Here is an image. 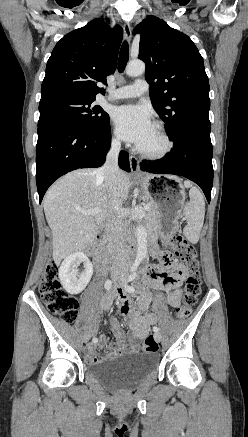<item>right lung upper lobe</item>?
Returning <instances> with one entry per match:
<instances>
[{"label":"right lung upper lobe","instance_id":"obj_1","mask_svg":"<svg viewBox=\"0 0 248 437\" xmlns=\"http://www.w3.org/2000/svg\"><path fill=\"white\" fill-rule=\"evenodd\" d=\"M122 37L119 25L111 29L99 19L65 35L47 62L41 97L66 93L95 100L97 93L104 94L97 82L106 84L115 72Z\"/></svg>","mask_w":248,"mask_h":437}]
</instances>
